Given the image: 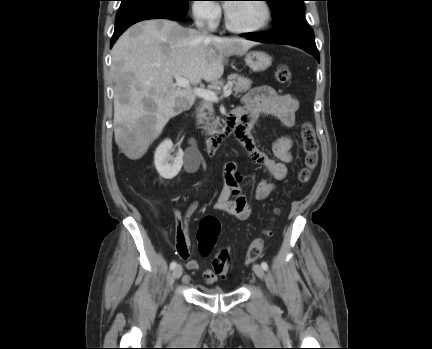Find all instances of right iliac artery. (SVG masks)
I'll list each match as a JSON object with an SVG mask.
<instances>
[{
  "mask_svg": "<svg viewBox=\"0 0 432 349\" xmlns=\"http://www.w3.org/2000/svg\"><path fill=\"white\" fill-rule=\"evenodd\" d=\"M176 262L175 261H173V262H171V264H170V269L171 270H173L175 267H176Z\"/></svg>",
  "mask_w": 432,
  "mask_h": 349,
  "instance_id": "obj_1",
  "label": "right iliac artery"
}]
</instances>
